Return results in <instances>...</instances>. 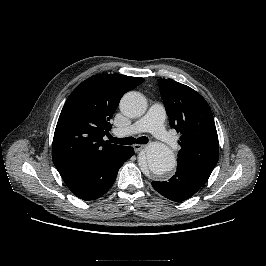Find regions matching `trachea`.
<instances>
[{
  "mask_svg": "<svg viewBox=\"0 0 266 266\" xmlns=\"http://www.w3.org/2000/svg\"><path fill=\"white\" fill-rule=\"evenodd\" d=\"M110 139L111 143H117V144H121V145H131V144H147L148 143V138L143 136V137H139V138H134V137H126V138H116V137H112L109 136L108 137Z\"/></svg>",
  "mask_w": 266,
  "mask_h": 266,
  "instance_id": "obj_1",
  "label": "trachea"
}]
</instances>
